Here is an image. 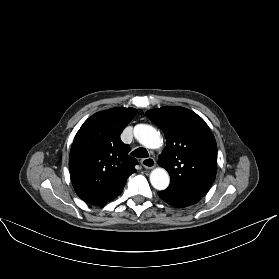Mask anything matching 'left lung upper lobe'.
I'll use <instances>...</instances> for the list:
<instances>
[{"mask_svg": "<svg viewBox=\"0 0 279 279\" xmlns=\"http://www.w3.org/2000/svg\"><path fill=\"white\" fill-rule=\"evenodd\" d=\"M164 132L166 147L158 164L171 178L168 193L199 201L217 172V145L205 121L183 107H161L146 112Z\"/></svg>", "mask_w": 279, "mask_h": 279, "instance_id": "5c2ea615", "label": "left lung upper lobe"}]
</instances>
